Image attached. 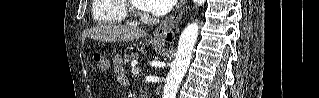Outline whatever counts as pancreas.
Here are the masks:
<instances>
[{
    "instance_id": "pancreas-1",
    "label": "pancreas",
    "mask_w": 319,
    "mask_h": 98,
    "mask_svg": "<svg viewBox=\"0 0 319 98\" xmlns=\"http://www.w3.org/2000/svg\"><path fill=\"white\" fill-rule=\"evenodd\" d=\"M137 59V54L136 53H132V54H128L124 56V61L126 63L130 62L131 60H135Z\"/></svg>"
}]
</instances>
